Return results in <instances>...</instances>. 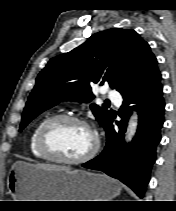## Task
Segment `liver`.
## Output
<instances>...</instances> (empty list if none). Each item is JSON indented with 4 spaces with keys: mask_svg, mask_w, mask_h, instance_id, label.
Returning <instances> with one entry per match:
<instances>
[{
    "mask_svg": "<svg viewBox=\"0 0 176 211\" xmlns=\"http://www.w3.org/2000/svg\"><path fill=\"white\" fill-rule=\"evenodd\" d=\"M36 166L39 168H45V169H68L65 166H56V165H49V164H38Z\"/></svg>",
    "mask_w": 176,
    "mask_h": 211,
    "instance_id": "obj_1",
    "label": "liver"
}]
</instances>
